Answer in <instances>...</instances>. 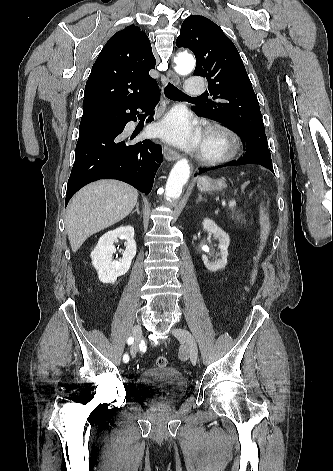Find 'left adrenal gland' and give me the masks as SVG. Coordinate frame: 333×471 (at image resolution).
<instances>
[{
  "instance_id": "left-adrenal-gland-1",
  "label": "left adrenal gland",
  "mask_w": 333,
  "mask_h": 471,
  "mask_svg": "<svg viewBox=\"0 0 333 471\" xmlns=\"http://www.w3.org/2000/svg\"><path fill=\"white\" fill-rule=\"evenodd\" d=\"M200 201H205V199L202 197L201 194L198 195V199H197V203L200 202Z\"/></svg>"
}]
</instances>
